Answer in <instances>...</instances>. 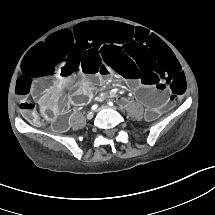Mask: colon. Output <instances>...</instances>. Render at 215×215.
I'll return each instance as SVG.
<instances>
[{
    "instance_id": "obj_1",
    "label": "colon",
    "mask_w": 215,
    "mask_h": 215,
    "mask_svg": "<svg viewBox=\"0 0 215 215\" xmlns=\"http://www.w3.org/2000/svg\"><path fill=\"white\" fill-rule=\"evenodd\" d=\"M57 97L51 94H43L40 99V105L50 121H55L58 115V110L55 106ZM19 109L29 121L37 120V110L34 103L21 102Z\"/></svg>"
}]
</instances>
